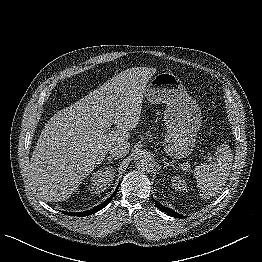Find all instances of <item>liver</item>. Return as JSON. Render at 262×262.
<instances>
[{"mask_svg": "<svg viewBox=\"0 0 262 262\" xmlns=\"http://www.w3.org/2000/svg\"><path fill=\"white\" fill-rule=\"evenodd\" d=\"M155 68L122 71L43 128L31 156L29 180L44 200L63 201L139 123L143 94ZM110 122L116 130L109 131Z\"/></svg>", "mask_w": 262, "mask_h": 262, "instance_id": "liver-1", "label": "liver"}]
</instances>
